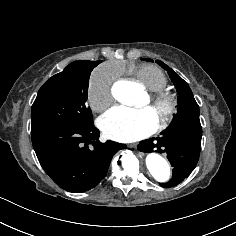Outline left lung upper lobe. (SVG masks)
I'll return each instance as SVG.
<instances>
[{"label": "left lung upper lobe", "instance_id": "obj_1", "mask_svg": "<svg viewBox=\"0 0 236 236\" xmlns=\"http://www.w3.org/2000/svg\"><path fill=\"white\" fill-rule=\"evenodd\" d=\"M143 60L151 61L152 59L145 58ZM162 68L167 70L172 82L178 92V112L174 116L170 125H184L191 127H201L199 119V107L194 99L193 93L187 84L175 71L169 68L160 60H156Z\"/></svg>", "mask_w": 236, "mask_h": 236}]
</instances>
